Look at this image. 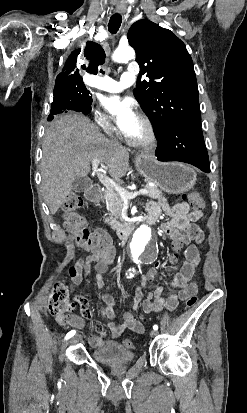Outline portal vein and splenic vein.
I'll list each match as a JSON object with an SVG mask.
<instances>
[{
	"label": "portal vein and splenic vein",
	"instance_id": "1",
	"mask_svg": "<svg viewBox=\"0 0 247 413\" xmlns=\"http://www.w3.org/2000/svg\"><path fill=\"white\" fill-rule=\"evenodd\" d=\"M101 160L99 158H93L92 160V170L93 172H96L100 182L106 186L107 190H117L118 194L122 196V198H135V196H138V194H149V190L147 188H140V190H136V192H128L126 188H123V186H120V184H117V182H114L112 178H109V176H106V174H102L98 168V164H100Z\"/></svg>",
	"mask_w": 247,
	"mask_h": 413
}]
</instances>
